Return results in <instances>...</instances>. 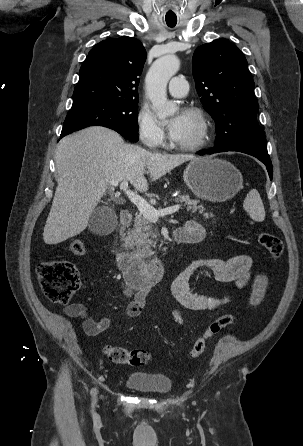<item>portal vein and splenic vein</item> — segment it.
Here are the masks:
<instances>
[{
	"instance_id": "portal-vein-and-splenic-vein-1",
	"label": "portal vein and splenic vein",
	"mask_w": 303,
	"mask_h": 446,
	"mask_svg": "<svg viewBox=\"0 0 303 446\" xmlns=\"http://www.w3.org/2000/svg\"><path fill=\"white\" fill-rule=\"evenodd\" d=\"M112 186H118V182H110ZM120 190L124 191L130 201L138 208L139 212L149 221L156 222L160 216H165L177 212L180 209V205H173L163 209L156 210L141 196L135 194L128 189V181L120 183Z\"/></svg>"
}]
</instances>
